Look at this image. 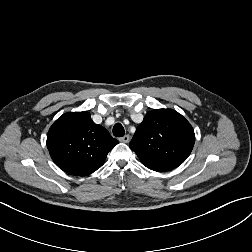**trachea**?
Masks as SVG:
<instances>
[{
    "instance_id": "obj_1",
    "label": "trachea",
    "mask_w": 252,
    "mask_h": 252,
    "mask_svg": "<svg viewBox=\"0 0 252 252\" xmlns=\"http://www.w3.org/2000/svg\"><path fill=\"white\" fill-rule=\"evenodd\" d=\"M125 134L122 124L116 123L113 127V135L115 137H123Z\"/></svg>"
}]
</instances>
